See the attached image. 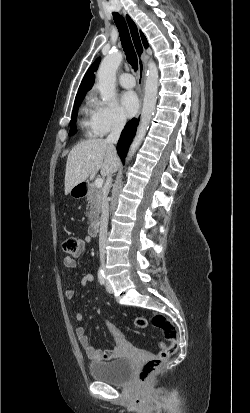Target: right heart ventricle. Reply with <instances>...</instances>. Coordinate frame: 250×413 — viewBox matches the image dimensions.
Here are the masks:
<instances>
[{"label":"right heart ventricle","instance_id":"e07e8e85","mask_svg":"<svg viewBox=\"0 0 250 413\" xmlns=\"http://www.w3.org/2000/svg\"><path fill=\"white\" fill-rule=\"evenodd\" d=\"M93 111L94 109H92V105L88 98L87 102L81 108L80 120V126L83 130L84 135L87 137H93L97 135L94 127Z\"/></svg>","mask_w":250,"mask_h":413}]
</instances>
